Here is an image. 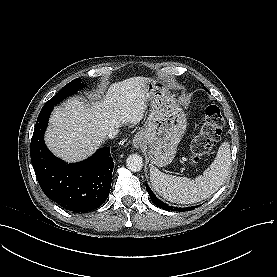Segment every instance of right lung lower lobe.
I'll return each mask as SVG.
<instances>
[{"label":"right lung lower lobe","mask_w":277,"mask_h":277,"mask_svg":"<svg viewBox=\"0 0 277 277\" xmlns=\"http://www.w3.org/2000/svg\"><path fill=\"white\" fill-rule=\"evenodd\" d=\"M54 106L42 108L31 140V161L45 195L65 209L90 212L107 199L114 162L110 148H101L90 158L67 164L56 158L44 142V132Z\"/></svg>","instance_id":"right-lung-lower-lobe-1"}]
</instances>
